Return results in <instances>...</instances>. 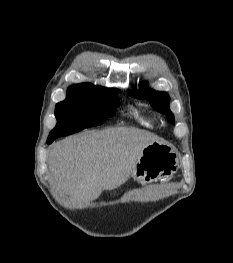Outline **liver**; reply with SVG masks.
<instances>
[{
	"mask_svg": "<svg viewBox=\"0 0 233 263\" xmlns=\"http://www.w3.org/2000/svg\"><path fill=\"white\" fill-rule=\"evenodd\" d=\"M154 134L135 128H108L55 143L48 164L54 185L79 205L96 200L128 180Z\"/></svg>",
	"mask_w": 233,
	"mask_h": 263,
	"instance_id": "liver-1",
	"label": "liver"
}]
</instances>
